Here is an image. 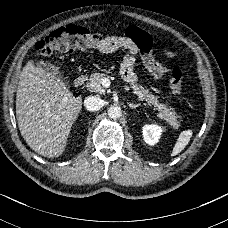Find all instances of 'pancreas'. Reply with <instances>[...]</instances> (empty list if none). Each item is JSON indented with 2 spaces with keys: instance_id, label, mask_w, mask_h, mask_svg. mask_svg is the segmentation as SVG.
<instances>
[{
  "instance_id": "cf45deb5",
  "label": "pancreas",
  "mask_w": 228,
  "mask_h": 228,
  "mask_svg": "<svg viewBox=\"0 0 228 228\" xmlns=\"http://www.w3.org/2000/svg\"><path fill=\"white\" fill-rule=\"evenodd\" d=\"M107 78H109V76L105 73L92 74L90 76V85H88V89L95 93H103L104 88L102 87L101 83L102 80ZM130 87L133 89L134 94L137 95L139 99L145 100L161 110L159 116L168 122V126L172 127V130L178 129L180 127V124L177 121L176 111L165 104L159 103L157 96L153 95L142 83H132L130 84Z\"/></svg>"
}]
</instances>
